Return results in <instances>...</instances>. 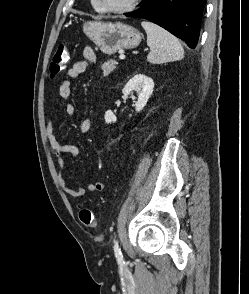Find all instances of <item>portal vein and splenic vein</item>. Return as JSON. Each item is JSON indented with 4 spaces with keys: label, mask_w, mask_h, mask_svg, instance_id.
<instances>
[{
    "label": "portal vein and splenic vein",
    "mask_w": 249,
    "mask_h": 294,
    "mask_svg": "<svg viewBox=\"0 0 249 294\" xmlns=\"http://www.w3.org/2000/svg\"><path fill=\"white\" fill-rule=\"evenodd\" d=\"M119 58L120 59H125V56L124 55H120Z\"/></svg>",
    "instance_id": "obj_1"
}]
</instances>
